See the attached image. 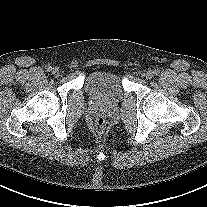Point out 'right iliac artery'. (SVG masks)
Here are the masks:
<instances>
[{"instance_id":"1","label":"right iliac artery","mask_w":207,"mask_h":207,"mask_svg":"<svg viewBox=\"0 0 207 207\" xmlns=\"http://www.w3.org/2000/svg\"><path fill=\"white\" fill-rule=\"evenodd\" d=\"M47 71H52V67L51 66H49V67H47Z\"/></svg>"}]
</instances>
